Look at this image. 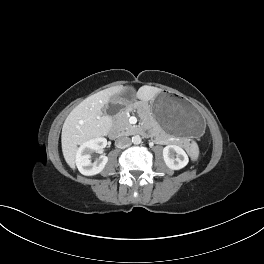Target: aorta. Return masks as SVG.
Listing matches in <instances>:
<instances>
[{
  "mask_svg": "<svg viewBox=\"0 0 264 264\" xmlns=\"http://www.w3.org/2000/svg\"><path fill=\"white\" fill-rule=\"evenodd\" d=\"M141 141H142V139H141V137L139 135H135V136L132 137V143L133 144L138 145V144L141 143Z\"/></svg>",
  "mask_w": 264,
  "mask_h": 264,
  "instance_id": "obj_1",
  "label": "aorta"
}]
</instances>
